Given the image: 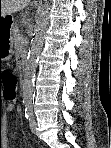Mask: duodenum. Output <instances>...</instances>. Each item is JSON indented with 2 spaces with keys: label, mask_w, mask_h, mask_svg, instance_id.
Wrapping results in <instances>:
<instances>
[{
  "label": "duodenum",
  "mask_w": 111,
  "mask_h": 148,
  "mask_svg": "<svg viewBox=\"0 0 111 148\" xmlns=\"http://www.w3.org/2000/svg\"><path fill=\"white\" fill-rule=\"evenodd\" d=\"M19 64L22 68H24L27 65V60L25 56L20 55Z\"/></svg>",
  "instance_id": "duodenum-1"
}]
</instances>
